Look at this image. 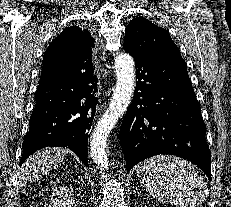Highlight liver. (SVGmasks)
I'll return each instance as SVG.
<instances>
[{"label":"liver","mask_w":231,"mask_h":207,"mask_svg":"<svg viewBox=\"0 0 231 207\" xmlns=\"http://www.w3.org/2000/svg\"><path fill=\"white\" fill-rule=\"evenodd\" d=\"M70 151L66 148H45L30 156L20 172L23 183L39 180L43 175L56 168Z\"/></svg>","instance_id":"liver-1"}]
</instances>
